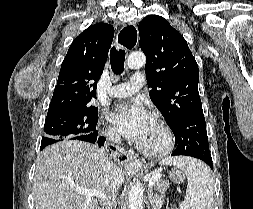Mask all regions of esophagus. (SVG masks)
<instances>
[{"mask_svg":"<svg viewBox=\"0 0 253 209\" xmlns=\"http://www.w3.org/2000/svg\"><path fill=\"white\" fill-rule=\"evenodd\" d=\"M116 42L127 51L133 50L138 43V30L135 23L124 25L117 33ZM115 155L121 163L130 165H139L141 161L134 156L132 151L126 150L124 147L117 146Z\"/></svg>","mask_w":253,"mask_h":209,"instance_id":"obj_1","label":"esophagus"}]
</instances>
